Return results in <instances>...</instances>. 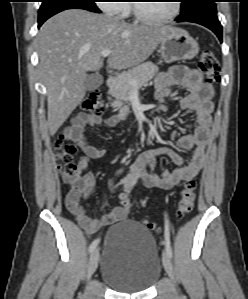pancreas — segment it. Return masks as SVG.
<instances>
[{
	"mask_svg": "<svg viewBox=\"0 0 248 299\" xmlns=\"http://www.w3.org/2000/svg\"><path fill=\"white\" fill-rule=\"evenodd\" d=\"M157 72L158 67L156 65L152 62H145L119 75L116 84L108 92L109 95L115 98L111 106L119 110L120 114H127L129 105L124 102L130 99L134 89L145 86ZM131 81H136L137 85L133 86Z\"/></svg>",
	"mask_w": 248,
	"mask_h": 299,
	"instance_id": "obj_1",
	"label": "pancreas"
}]
</instances>
